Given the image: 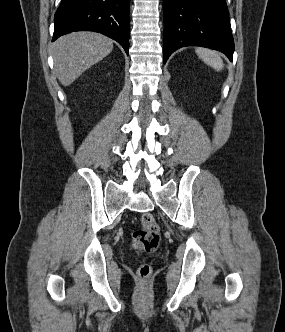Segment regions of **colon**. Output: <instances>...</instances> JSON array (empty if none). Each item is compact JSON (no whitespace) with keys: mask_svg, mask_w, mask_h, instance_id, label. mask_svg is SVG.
<instances>
[{"mask_svg":"<svg viewBox=\"0 0 285 332\" xmlns=\"http://www.w3.org/2000/svg\"><path fill=\"white\" fill-rule=\"evenodd\" d=\"M133 246L143 252L153 253L158 249L160 243V228L151 214L141 217V228L132 233ZM138 277L146 280L151 274V266L143 263L137 270Z\"/></svg>","mask_w":285,"mask_h":332,"instance_id":"5ec220e1","label":"colon"}]
</instances>
